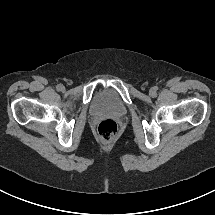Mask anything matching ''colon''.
<instances>
[{"label": "colon", "instance_id": "obj_1", "mask_svg": "<svg viewBox=\"0 0 215 215\" xmlns=\"http://www.w3.org/2000/svg\"><path fill=\"white\" fill-rule=\"evenodd\" d=\"M97 131L103 140L110 141L118 133V124L112 119H105L99 123Z\"/></svg>", "mask_w": 215, "mask_h": 215}]
</instances>
